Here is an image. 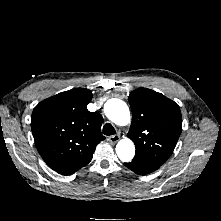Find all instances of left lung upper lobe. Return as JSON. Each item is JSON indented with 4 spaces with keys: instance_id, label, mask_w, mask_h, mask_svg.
I'll use <instances>...</instances> for the list:
<instances>
[{
    "instance_id": "1",
    "label": "left lung upper lobe",
    "mask_w": 221,
    "mask_h": 221,
    "mask_svg": "<svg viewBox=\"0 0 221 221\" xmlns=\"http://www.w3.org/2000/svg\"><path fill=\"white\" fill-rule=\"evenodd\" d=\"M132 123L128 137L134 142V159L164 164L172 154L182 130L179 106L161 93L147 88L129 95Z\"/></svg>"
}]
</instances>
